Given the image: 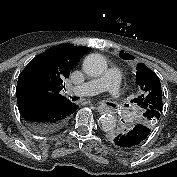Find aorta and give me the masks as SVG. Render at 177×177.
Masks as SVG:
<instances>
[{"label": "aorta", "mask_w": 177, "mask_h": 177, "mask_svg": "<svg viewBox=\"0 0 177 177\" xmlns=\"http://www.w3.org/2000/svg\"><path fill=\"white\" fill-rule=\"evenodd\" d=\"M83 70L92 77H99L107 70V62L101 54H89L83 61ZM100 124L105 132H110L116 127V118L111 114L100 117Z\"/></svg>", "instance_id": "1"}]
</instances>
